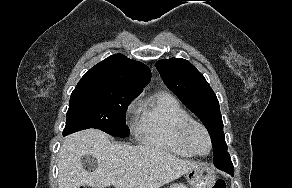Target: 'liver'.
<instances>
[{
  "mask_svg": "<svg viewBox=\"0 0 292 188\" xmlns=\"http://www.w3.org/2000/svg\"><path fill=\"white\" fill-rule=\"evenodd\" d=\"M83 155L96 159L94 170L86 169ZM199 165L157 147L114 144L102 131L88 129L67 136L61 145L58 188H160Z\"/></svg>",
  "mask_w": 292,
  "mask_h": 188,
  "instance_id": "6515ba94",
  "label": "liver"
}]
</instances>
